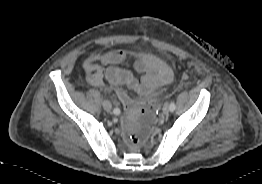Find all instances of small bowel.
<instances>
[{"label": "small bowel", "instance_id": "small-bowel-1", "mask_svg": "<svg viewBox=\"0 0 262 184\" xmlns=\"http://www.w3.org/2000/svg\"><path fill=\"white\" fill-rule=\"evenodd\" d=\"M131 60L140 77L119 67L120 64ZM100 64L107 67L104 69ZM83 70L87 75V82L92 86L102 87L106 79L113 86H126L143 96L170 83L173 78L172 70L157 56H135L123 50L100 52L93 57H88L83 62Z\"/></svg>", "mask_w": 262, "mask_h": 184}]
</instances>
